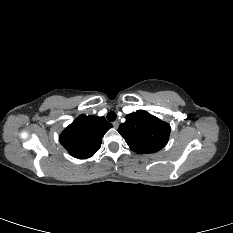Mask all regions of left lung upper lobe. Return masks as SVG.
Masks as SVG:
<instances>
[{"label": "left lung upper lobe", "instance_id": "1", "mask_svg": "<svg viewBox=\"0 0 233 233\" xmlns=\"http://www.w3.org/2000/svg\"><path fill=\"white\" fill-rule=\"evenodd\" d=\"M170 131L168 123L144 110L128 114L118 129L131 150L138 154L161 150L167 144Z\"/></svg>", "mask_w": 233, "mask_h": 233}]
</instances>
